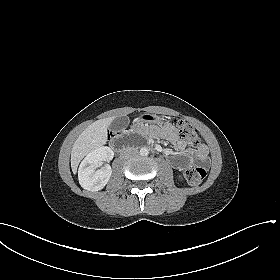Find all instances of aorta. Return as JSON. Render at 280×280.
<instances>
[{"instance_id":"762f6f07","label":"aorta","mask_w":280,"mask_h":280,"mask_svg":"<svg viewBox=\"0 0 280 280\" xmlns=\"http://www.w3.org/2000/svg\"><path fill=\"white\" fill-rule=\"evenodd\" d=\"M148 154H149L148 148L142 147V148L140 149V155H141V156H147Z\"/></svg>"}]
</instances>
